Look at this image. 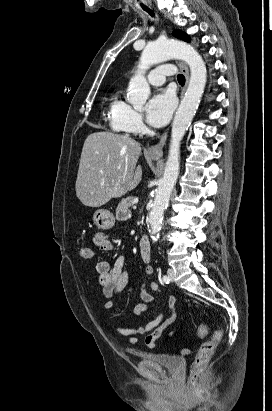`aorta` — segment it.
I'll list each match as a JSON object with an SVG mask.
<instances>
[{"label": "aorta", "mask_w": 272, "mask_h": 411, "mask_svg": "<svg viewBox=\"0 0 272 411\" xmlns=\"http://www.w3.org/2000/svg\"><path fill=\"white\" fill-rule=\"evenodd\" d=\"M179 58L190 67V81L186 93L175 114L168 159L164 174L156 190L155 198L148 215L149 232L153 237L161 230L164 211L179 174L180 145L201 101L207 81L205 63L199 53L189 44L173 39L157 40L144 48L137 73L131 78L127 90V100L137 110H141L150 94V87L144 77L151 65Z\"/></svg>", "instance_id": "aorta-1"}]
</instances>
